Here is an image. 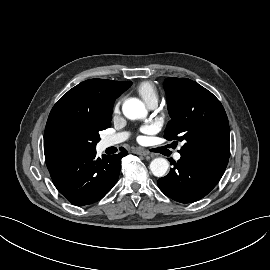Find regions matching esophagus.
I'll use <instances>...</instances> for the list:
<instances>
[{
  "mask_svg": "<svg viewBox=\"0 0 270 270\" xmlns=\"http://www.w3.org/2000/svg\"><path fill=\"white\" fill-rule=\"evenodd\" d=\"M135 154L141 155V156H149L150 153L146 150L138 149L134 151Z\"/></svg>",
  "mask_w": 270,
  "mask_h": 270,
  "instance_id": "1",
  "label": "esophagus"
}]
</instances>
